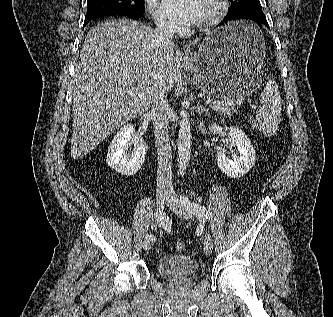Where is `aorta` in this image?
<instances>
[{"label":"aorta","instance_id":"762f6f07","mask_svg":"<svg viewBox=\"0 0 333 317\" xmlns=\"http://www.w3.org/2000/svg\"><path fill=\"white\" fill-rule=\"evenodd\" d=\"M191 123L187 113H182L178 133V174L183 175L191 154Z\"/></svg>","mask_w":333,"mask_h":317}]
</instances>
